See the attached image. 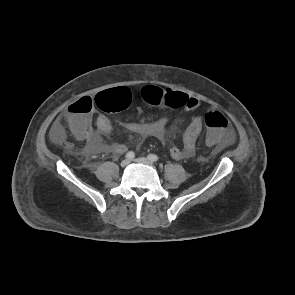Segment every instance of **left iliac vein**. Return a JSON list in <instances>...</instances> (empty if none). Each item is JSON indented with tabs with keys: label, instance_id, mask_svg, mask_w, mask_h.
Wrapping results in <instances>:
<instances>
[{
	"label": "left iliac vein",
	"instance_id": "4c4485c4",
	"mask_svg": "<svg viewBox=\"0 0 295 295\" xmlns=\"http://www.w3.org/2000/svg\"><path fill=\"white\" fill-rule=\"evenodd\" d=\"M135 162L142 163V164H148V165H153V162L150 161L149 159L145 157H139L134 159Z\"/></svg>",
	"mask_w": 295,
	"mask_h": 295
}]
</instances>
